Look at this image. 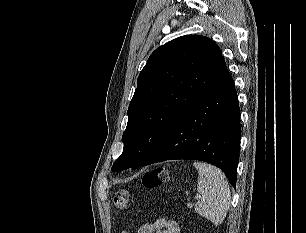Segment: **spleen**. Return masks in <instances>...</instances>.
<instances>
[{
	"label": "spleen",
	"instance_id": "1",
	"mask_svg": "<svg viewBox=\"0 0 306 233\" xmlns=\"http://www.w3.org/2000/svg\"><path fill=\"white\" fill-rule=\"evenodd\" d=\"M198 171L197 190L201 199L195 204V211L219 225L228 212L231 192L225 174L217 167L203 162H194Z\"/></svg>",
	"mask_w": 306,
	"mask_h": 233
}]
</instances>
